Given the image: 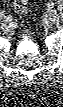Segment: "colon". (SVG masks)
Masks as SVG:
<instances>
[{"instance_id": "colon-1", "label": "colon", "mask_w": 63, "mask_h": 107, "mask_svg": "<svg viewBox=\"0 0 63 107\" xmlns=\"http://www.w3.org/2000/svg\"><path fill=\"white\" fill-rule=\"evenodd\" d=\"M15 8L21 12V13H25L27 11V7H28V1L26 0H18L14 2Z\"/></svg>"}]
</instances>
